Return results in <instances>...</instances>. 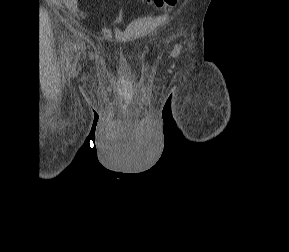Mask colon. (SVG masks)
<instances>
[{"mask_svg":"<svg viewBox=\"0 0 289 252\" xmlns=\"http://www.w3.org/2000/svg\"><path fill=\"white\" fill-rule=\"evenodd\" d=\"M177 1L178 0H147V2L153 4L158 8H162L165 6H174L177 3Z\"/></svg>","mask_w":289,"mask_h":252,"instance_id":"obj_1","label":"colon"}]
</instances>
